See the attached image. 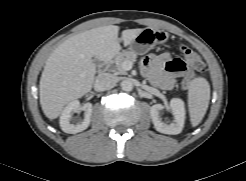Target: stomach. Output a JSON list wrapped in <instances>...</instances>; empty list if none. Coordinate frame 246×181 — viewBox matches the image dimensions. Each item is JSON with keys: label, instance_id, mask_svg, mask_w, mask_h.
Masks as SVG:
<instances>
[{"label": "stomach", "instance_id": "obj_1", "mask_svg": "<svg viewBox=\"0 0 246 181\" xmlns=\"http://www.w3.org/2000/svg\"><path fill=\"white\" fill-rule=\"evenodd\" d=\"M167 40V34L152 28H145L131 43L129 50L143 55L147 53L156 44L164 43Z\"/></svg>", "mask_w": 246, "mask_h": 181}]
</instances>
